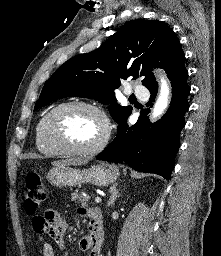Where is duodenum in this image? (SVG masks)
Segmentation results:
<instances>
[{
	"mask_svg": "<svg viewBox=\"0 0 221 256\" xmlns=\"http://www.w3.org/2000/svg\"><path fill=\"white\" fill-rule=\"evenodd\" d=\"M95 219L97 221V233L98 235H102L103 232V219H102V214L100 211L96 212L95 214Z\"/></svg>",
	"mask_w": 221,
	"mask_h": 256,
	"instance_id": "410a0bca",
	"label": "duodenum"
}]
</instances>
